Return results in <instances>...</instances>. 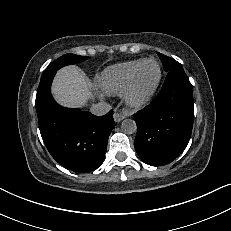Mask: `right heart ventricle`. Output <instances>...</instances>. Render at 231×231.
Masks as SVG:
<instances>
[{
    "label": "right heart ventricle",
    "mask_w": 231,
    "mask_h": 231,
    "mask_svg": "<svg viewBox=\"0 0 231 231\" xmlns=\"http://www.w3.org/2000/svg\"><path fill=\"white\" fill-rule=\"evenodd\" d=\"M142 60L143 59L129 60L106 68L98 79L100 90L107 95L122 92L131 72Z\"/></svg>",
    "instance_id": "obj_1"
}]
</instances>
